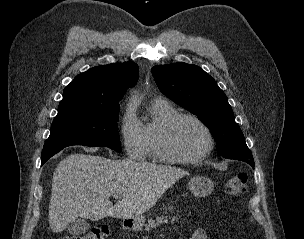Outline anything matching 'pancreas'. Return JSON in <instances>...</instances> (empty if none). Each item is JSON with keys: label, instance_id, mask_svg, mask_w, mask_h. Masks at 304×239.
<instances>
[{"label": "pancreas", "instance_id": "cf45deb5", "mask_svg": "<svg viewBox=\"0 0 304 239\" xmlns=\"http://www.w3.org/2000/svg\"><path fill=\"white\" fill-rule=\"evenodd\" d=\"M177 220H178V218L173 216L171 219V222L173 223L174 221H177ZM167 221H168L167 218H165L163 216H161V217L157 216L155 220H153V219L148 220L147 227H155L156 225L166 223Z\"/></svg>", "mask_w": 304, "mask_h": 239}]
</instances>
